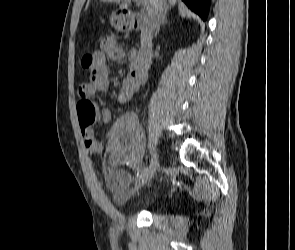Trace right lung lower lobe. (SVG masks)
I'll use <instances>...</instances> for the list:
<instances>
[{"instance_id": "obj_1", "label": "right lung lower lobe", "mask_w": 295, "mask_h": 250, "mask_svg": "<svg viewBox=\"0 0 295 250\" xmlns=\"http://www.w3.org/2000/svg\"><path fill=\"white\" fill-rule=\"evenodd\" d=\"M186 5L199 14L202 19H206L209 11L210 0H183Z\"/></svg>"}]
</instances>
